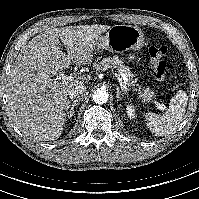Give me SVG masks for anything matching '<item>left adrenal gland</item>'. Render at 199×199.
Returning <instances> with one entry per match:
<instances>
[{"label":"left adrenal gland","instance_id":"obj_1","mask_svg":"<svg viewBox=\"0 0 199 199\" xmlns=\"http://www.w3.org/2000/svg\"><path fill=\"white\" fill-rule=\"evenodd\" d=\"M121 91L119 90V87H117L116 97L118 100L120 99Z\"/></svg>","mask_w":199,"mask_h":199}]
</instances>
